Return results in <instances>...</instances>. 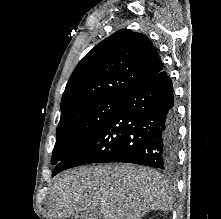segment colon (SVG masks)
<instances>
[{
	"label": "colon",
	"instance_id": "5ec220e1",
	"mask_svg": "<svg viewBox=\"0 0 221 219\" xmlns=\"http://www.w3.org/2000/svg\"><path fill=\"white\" fill-rule=\"evenodd\" d=\"M72 219H85L82 215H77V216H75L74 218H72Z\"/></svg>",
	"mask_w": 221,
	"mask_h": 219
}]
</instances>
